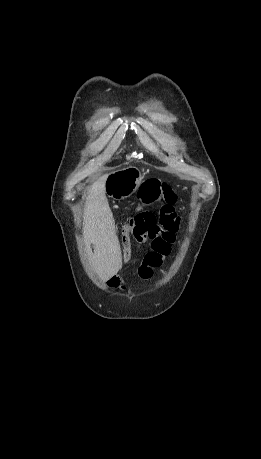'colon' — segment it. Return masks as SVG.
I'll return each mask as SVG.
<instances>
[{"mask_svg":"<svg viewBox=\"0 0 261 459\" xmlns=\"http://www.w3.org/2000/svg\"><path fill=\"white\" fill-rule=\"evenodd\" d=\"M138 198L141 206L160 204L159 218L148 210H139L129 222H123L119 230L120 249L126 261L133 259L131 235L139 234L144 238H157L159 234L173 237L179 229V219L174 211L176 195L172 188L155 179L147 180L139 190Z\"/></svg>","mask_w":261,"mask_h":459,"instance_id":"1","label":"colon"}]
</instances>
